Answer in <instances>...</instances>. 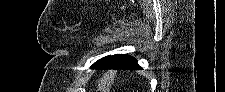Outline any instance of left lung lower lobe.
I'll return each mask as SVG.
<instances>
[{"mask_svg":"<svg viewBox=\"0 0 225 92\" xmlns=\"http://www.w3.org/2000/svg\"><path fill=\"white\" fill-rule=\"evenodd\" d=\"M95 69L97 70H108V69L136 70V69H141V67L137 64V60H135L130 55L118 54V55L109 56L104 62H102Z\"/></svg>","mask_w":225,"mask_h":92,"instance_id":"obj_1","label":"left lung lower lobe"}]
</instances>
